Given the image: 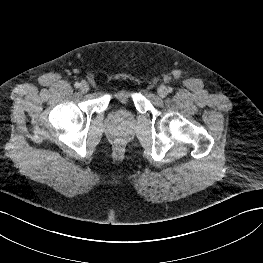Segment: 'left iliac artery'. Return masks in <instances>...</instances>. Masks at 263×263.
Listing matches in <instances>:
<instances>
[{"mask_svg":"<svg viewBox=\"0 0 263 263\" xmlns=\"http://www.w3.org/2000/svg\"><path fill=\"white\" fill-rule=\"evenodd\" d=\"M167 91H168L169 93H171V92L173 91L172 87H168V88H167Z\"/></svg>","mask_w":263,"mask_h":263,"instance_id":"1","label":"left iliac artery"}]
</instances>
